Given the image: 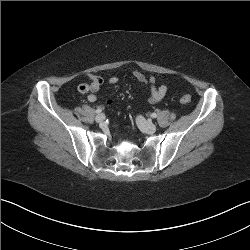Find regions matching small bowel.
Masks as SVG:
<instances>
[{
	"label": "small bowel",
	"mask_w": 250,
	"mask_h": 250,
	"mask_svg": "<svg viewBox=\"0 0 250 250\" xmlns=\"http://www.w3.org/2000/svg\"><path fill=\"white\" fill-rule=\"evenodd\" d=\"M133 77L135 80L143 85L149 88L150 90V95L148 98L149 103L151 104H156L161 102L166 93H167V86L165 85H157V79L153 76L151 77H146L143 73L140 71H133ZM119 81V78L117 76H112L108 79L107 84L109 86H114L117 84ZM100 83H95V84H88L84 83L80 85V90L83 93L87 94V99L90 102H95L97 97H96V92L99 90Z\"/></svg>",
	"instance_id": "small-bowel-1"
}]
</instances>
